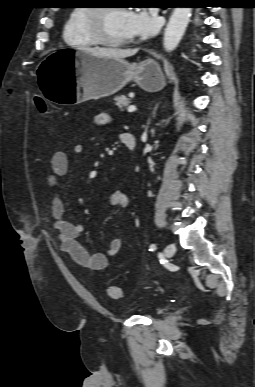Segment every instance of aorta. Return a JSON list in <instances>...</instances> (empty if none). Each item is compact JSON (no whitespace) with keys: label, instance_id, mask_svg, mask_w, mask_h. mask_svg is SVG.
Returning a JSON list of instances; mask_svg holds the SVG:
<instances>
[{"label":"aorta","instance_id":"762f6f07","mask_svg":"<svg viewBox=\"0 0 255 387\" xmlns=\"http://www.w3.org/2000/svg\"><path fill=\"white\" fill-rule=\"evenodd\" d=\"M190 7H175L164 32L163 46L167 52L176 49L190 21Z\"/></svg>","mask_w":255,"mask_h":387}]
</instances>
